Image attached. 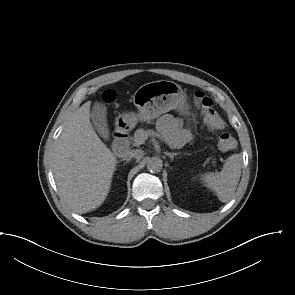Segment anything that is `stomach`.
<instances>
[{"instance_id":"obj_1","label":"stomach","mask_w":295,"mask_h":295,"mask_svg":"<svg viewBox=\"0 0 295 295\" xmlns=\"http://www.w3.org/2000/svg\"><path fill=\"white\" fill-rule=\"evenodd\" d=\"M134 103L138 113H124L119 117L121 126L133 128L139 121H151L170 110L188 111L186 94L173 81L159 80L144 84L136 91Z\"/></svg>"}]
</instances>
